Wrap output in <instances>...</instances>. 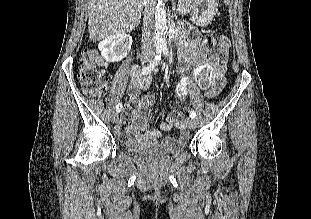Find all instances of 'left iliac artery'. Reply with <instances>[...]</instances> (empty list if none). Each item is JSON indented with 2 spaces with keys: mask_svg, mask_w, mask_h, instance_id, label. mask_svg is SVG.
<instances>
[{
  "mask_svg": "<svg viewBox=\"0 0 311 219\" xmlns=\"http://www.w3.org/2000/svg\"><path fill=\"white\" fill-rule=\"evenodd\" d=\"M162 51H163L164 55H167V54H168V49H167V48H163ZM189 114H190V117H191L192 119H195L196 113H195L194 110H190Z\"/></svg>",
  "mask_w": 311,
  "mask_h": 219,
  "instance_id": "1",
  "label": "left iliac artery"
}]
</instances>
